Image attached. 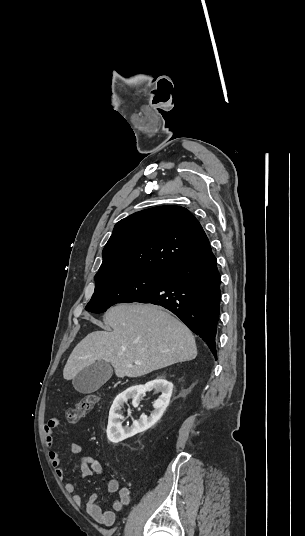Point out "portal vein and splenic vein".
I'll return each mask as SVG.
<instances>
[{
  "label": "portal vein and splenic vein",
  "mask_w": 305,
  "mask_h": 536,
  "mask_svg": "<svg viewBox=\"0 0 305 536\" xmlns=\"http://www.w3.org/2000/svg\"><path fill=\"white\" fill-rule=\"evenodd\" d=\"M135 364H140V362H135Z\"/></svg>",
  "instance_id": "obj_1"
}]
</instances>
